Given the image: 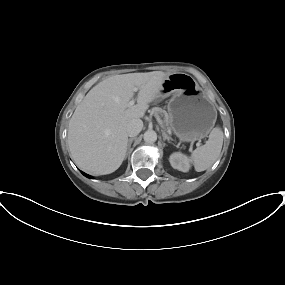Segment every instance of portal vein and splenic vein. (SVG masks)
<instances>
[{
	"label": "portal vein and splenic vein",
	"instance_id": "obj_1",
	"mask_svg": "<svg viewBox=\"0 0 285 285\" xmlns=\"http://www.w3.org/2000/svg\"><path fill=\"white\" fill-rule=\"evenodd\" d=\"M133 90H134L135 92H137V91H138V88H137V87H134ZM134 104H135V101L132 99V100L129 101L128 107H131V106H133ZM155 117H156L158 123H159L160 125H162V121H161L160 117H159L157 114H155ZM198 145H199V143H198Z\"/></svg>",
	"mask_w": 285,
	"mask_h": 285
}]
</instances>
